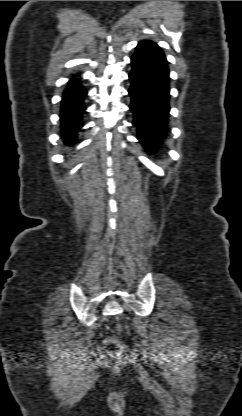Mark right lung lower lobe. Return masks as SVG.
<instances>
[{
	"instance_id": "right-lung-lower-lobe-1",
	"label": "right lung lower lobe",
	"mask_w": 242,
	"mask_h": 416,
	"mask_svg": "<svg viewBox=\"0 0 242 416\" xmlns=\"http://www.w3.org/2000/svg\"><path fill=\"white\" fill-rule=\"evenodd\" d=\"M86 94L78 78H72L63 93L60 118L62 137L66 145H73L77 141V132L82 127V115L86 109Z\"/></svg>"
}]
</instances>
